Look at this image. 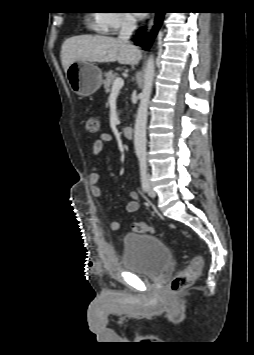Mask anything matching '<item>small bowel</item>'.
<instances>
[{
  "instance_id": "obj_1",
  "label": "small bowel",
  "mask_w": 254,
  "mask_h": 355,
  "mask_svg": "<svg viewBox=\"0 0 254 355\" xmlns=\"http://www.w3.org/2000/svg\"><path fill=\"white\" fill-rule=\"evenodd\" d=\"M112 140V137L108 133H102L94 141L91 147V152L94 157H97L104 150L105 144L109 143ZM99 174L96 167H93L89 174V185L90 193L95 198H101L102 191L98 186ZM130 200L126 204V211L128 213H134L139 209L140 206V196L136 191H130L129 193ZM110 228L113 231H118L121 228V223L119 221H111Z\"/></svg>"
}]
</instances>
